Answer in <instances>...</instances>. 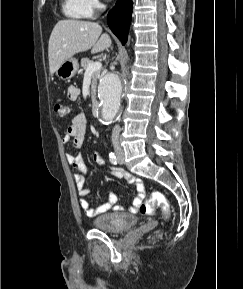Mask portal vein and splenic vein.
<instances>
[{"instance_id":"18ae733b","label":"portal vein and splenic vein","mask_w":243,"mask_h":289,"mask_svg":"<svg viewBox=\"0 0 243 289\" xmlns=\"http://www.w3.org/2000/svg\"><path fill=\"white\" fill-rule=\"evenodd\" d=\"M102 67V63L100 61H95L88 65L86 73H93L95 71L100 70Z\"/></svg>"}]
</instances>
